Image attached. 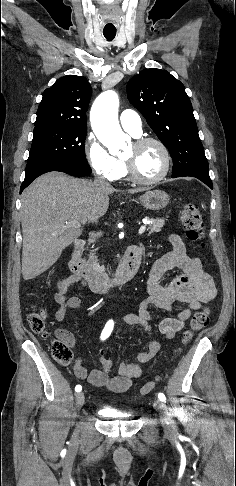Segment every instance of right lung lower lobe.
I'll list each match as a JSON object with an SVG mask.
<instances>
[{"instance_id":"right-lung-lower-lobe-1","label":"right lung lower lobe","mask_w":236,"mask_h":486,"mask_svg":"<svg viewBox=\"0 0 236 486\" xmlns=\"http://www.w3.org/2000/svg\"><path fill=\"white\" fill-rule=\"evenodd\" d=\"M60 171L76 177H84L91 173L88 164L42 159L30 161L26 165L25 179L21 185L20 193L38 176L50 172Z\"/></svg>"}]
</instances>
